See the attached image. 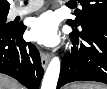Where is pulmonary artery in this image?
I'll list each match as a JSON object with an SVG mask.
<instances>
[{
	"label": "pulmonary artery",
	"mask_w": 107,
	"mask_h": 89,
	"mask_svg": "<svg viewBox=\"0 0 107 89\" xmlns=\"http://www.w3.org/2000/svg\"><path fill=\"white\" fill-rule=\"evenodd\" d=\"M42 5H43V1L35 0V1H32L29 5H27L25 7H16L14 9H12L10 15L12 17L26 15V14H29V13H32V12L38 10L40 7H42Z\"/></svg>",
	"instance_id": "e3ab8cb5"
}]
</instances>
